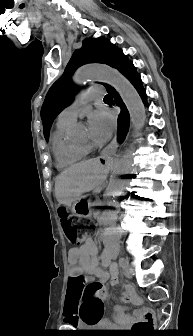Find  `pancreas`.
<instances>
[{"label":"pancreas","mask_w":193,"mask_h":336,"mask_svg":"<svg viewBox=\"0 0 193 336\" xmlns=\"http://www.w3.org/2000/svg\"><path fill=\"white\" fill-rule=\"evenodd\" d=\"M103 209V200L101 198H98L94 201L93 210L95 211L96 215H99Z\"/></svg>","instance_id":"1"}]
</instances>
